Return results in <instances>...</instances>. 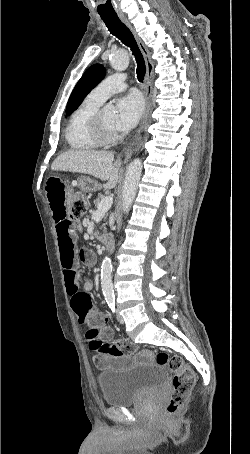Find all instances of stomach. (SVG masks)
<instances>
[{
    "mask_svg": "<svg viewBox=\"0 0 250 454\" xmlns=\"http://www.w3.org/2000/svg\"><path fill=\"white\" fill-rule=\"evenodd\" d=\"M45 184H47V183H45ZM83 186L88 191H95L96 189H98V185L93 180H91L89 178L84 179V185Z\"/></svg>",
    "mask_w": 250,
    "mask_h": 454,
    "instance_id": "stomach-1",
    "label": "stomach"
}]
</instances>
